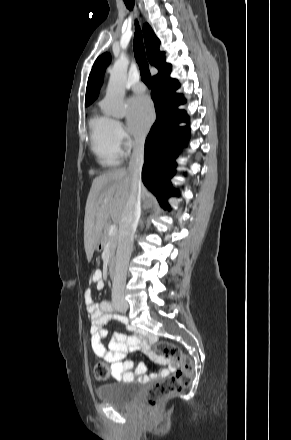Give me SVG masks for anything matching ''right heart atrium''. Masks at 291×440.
<instances>
[{"label":"right heart atrium","instance_id":"right-heart-atrium-1","mask_svg":"<svg viewBox=\"0 0 291 440\" xmlns=\"http://www.w3.org/2000/svg\"><path fill=\"white\" fill-rule=\"evenodd\" d=\"M114 137L121 152L131 147L135 143V140L130 136L123 123L120 121L114 122Z\"/></svg>","mask_w":291,"mask_h":440}]
</instances>
